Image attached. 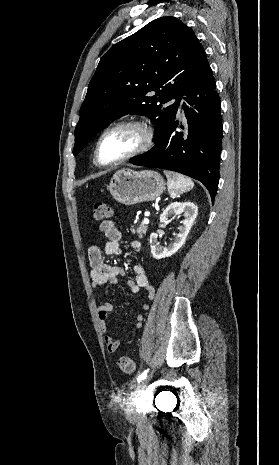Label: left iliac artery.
Listing matches in <instances>:
<instances>
[{
  "label": "left iliac artery",
  "mask_w": 279,
  "mask_h": 465,
  "mask_svg": "<svg viewBox=\"0 0 279 465\" xmlns=\"http://www.w3.org/2000/svg\"><path fill=\"white\" fill-rule=\"evenodd\" d=\"M147 372H148V371L146 370V371H144L143 373H141V374L138 376L137 381L140 382V381L144 380V379L146 378V376H147Z\"/></svg>",
  "instance_id": "left-iliac-artery-1"
}]
</instances>
